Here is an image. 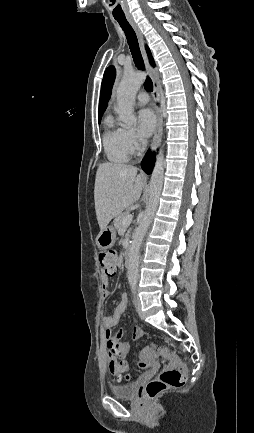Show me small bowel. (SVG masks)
<instances>
[{"label": "small bowel", "instance_id": "1", "mask_svg": "<svg viewBox=\"0 0 254 433\" xmlns=\"http://www.w3.org/2000/svg\"><path fill=\"white\" fill-rule=\"evenodd\" d=\"M108 279L104 280V296L109 295L107 290ZM127 307V296L122 295L118 305L112 313L104 314L101 318L102 327L105 331V342L107 347V361L110 372L121 379L122 375L127 372L128 364L125 361L126 356L130 350V343L128 341H122L121 338L124 331L121 329L117 332H113L121 317L123 316ZM142 335L140 328H135L130 336V340H136Z\"/></svg>", "mask_w": 254, "mask_h": 433}]
</instances>
